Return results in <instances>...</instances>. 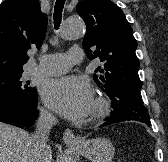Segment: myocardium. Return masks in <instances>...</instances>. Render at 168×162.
I'll use <instances>...</instances> for the list:
<instances>
[{
  "label": "myocardium",
  "mask_w": 168,
  "mask_h": 162,
  "mask_svg": "<svg viewBox=\"0 0 168 162\" xmlns=\"http://www.w3.org/2000/svg\"><path fill=\"white\" fill-rule=\"evenodd\" d=\"M110 113V102L102 96L95 98L93 109L90 116L91 122H99L106 118Z\"/></svg>",
  "instance_id": "f54148a6"
}]
</instances>
